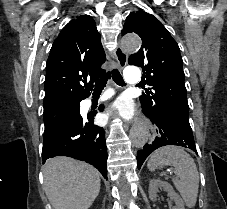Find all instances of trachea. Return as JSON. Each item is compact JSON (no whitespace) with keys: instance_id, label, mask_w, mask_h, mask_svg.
<instances>
[{"instance_id":"1","label":"trachea","mask_w":227,"mask_h":209,"mask_svg":"<svg viewBox=\"0 0 227 209\" xmlns=\"http://www.w3.org/2000/svg\"><path fill=\"white\" fill-rule=\"evenodd\" d=\"M110 74H112V78L117 85H121V86L125 85V82L120 72L117 69H114L112 70V72H108L106 76H104L103 78H100L95 82L94 92H99L104 89Z\"/></svg>"}]
</instances>
